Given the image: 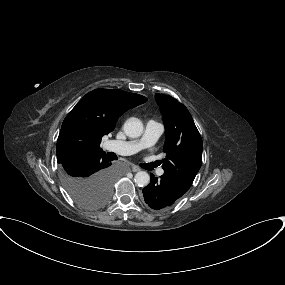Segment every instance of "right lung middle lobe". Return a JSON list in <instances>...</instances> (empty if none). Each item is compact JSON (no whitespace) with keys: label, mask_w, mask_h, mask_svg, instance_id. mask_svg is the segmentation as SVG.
I'll return each mask as SVG.
<instances>
[{"label":"right lung middle lobe","mask_w":285,"mask_h":285,"mask_svg":"<svg viewBox=\"0 0 285 285\" xmlns=\"http://www.w3.org/2000/svg\"><path fill=\"white\" fill-rule=\"evenodd\" d=\"M61 180L72 199L85 208L104 206L112 191L114 177L85 179L60 166Z\"/></svg>","instance_id":"1"}]
</instances>
